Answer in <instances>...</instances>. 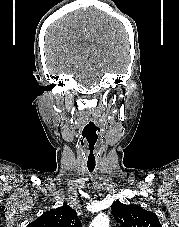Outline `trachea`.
Returning <instances> with one entry per match:
<instances>
[{"label": "trachea", "instance_id": "1", "mask_svg": "<svg viewBox=\"0 0 179 227\" xmlns=\"http://www.w3.org/2000/svg\"><path fill=\"white\" fill-rule=\"evenodd\" d=\"M87 168L90 173H92L96 166V159H97V151L96 150H88L87 151Z\"/></svg>", "mask_w": 179, "mask_h": 227}]
</instances>
